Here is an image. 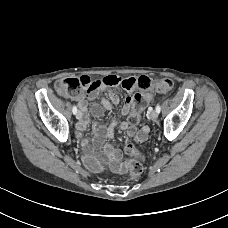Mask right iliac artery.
Listing matches in <instances>:
<instances>
[{
	"label": "right iliac artery",
	"instance_id": "right-iliac-artery-1",
	"mask_svg": "<svg viewBox=\"0 0 228 228\" xmlns=\"http://www.w3.org/2000/svg\"><path fill=\"white\" fill-rule=\"evenodd\" d=\"M72 111H73V114H76V113H77V108H76V106H73Z\"/></svg>",
	"mask_w": 228,
	"mask_h": 228
}]
</instances>
